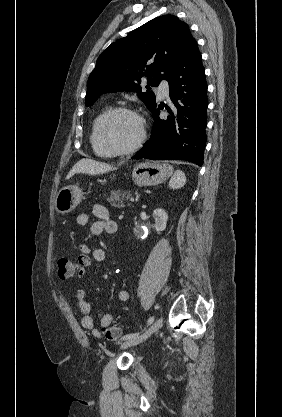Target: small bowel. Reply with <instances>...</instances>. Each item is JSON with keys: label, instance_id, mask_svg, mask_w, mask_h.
I'll return each instance as SVG.
<instances>
[{"label": "small bowel", "instance_id": "c3829d8e", "mask_svg": "<svg viewBox=\"0 0 282 417\" xmlns=\"http://www.w3.org/2000/svg\"><path fill=\"white\" fill-rule=\"evenodd\" d=\"M92 214L97 218L96 221L92 222L91 215L88 213H79L76 217V223L81 227H89L90 233L94 236L101 235L102 233H117L118 224L110 218L109 211L103 204L95 203L92 206ZM77 259L80 277H83L86 273V268L93 262L101 263L105 261L106 253L102 248L91 249L89 245L83 243L79 246ZM117 298L119 302H128L130 299V291L125 288L120 289L117 292ZM76 299L79 311L82 314V326L86 330H89L96 339H101L103 336H106L105 324L109 323L110 319H114V316L110 313L104 314L100 319V325L97 326L90 315L91 306L87 299L86 291L84 289H78L76 291Z\"/></svg>", "mask_w": 282, "mask_h": 417}]
</instances>
